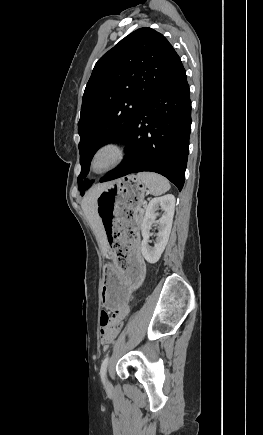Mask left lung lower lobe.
<instances>
[{"label": "left lung lower lobe", "mask_w": 263, "mask_h": 435, "mask_svg": "<svg viewBox=\"0 0 263 435\" xmlns=\"http://www.w3.org/2000/svg\"><path fill=\"white\" fill-rule=\"evenodd\" d=\"M190 130V91L185 69L180 63L135 119L124 142L127 147L124 161L100 182L130 173L151 171L165 176L181 190Z\"/></svg>", "instance_id": "0a47b994"}]
</instances>
